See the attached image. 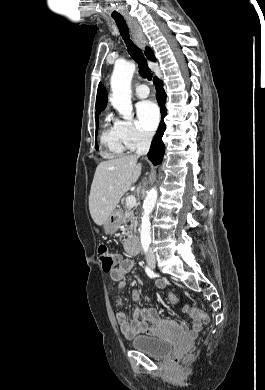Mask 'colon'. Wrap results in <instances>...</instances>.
Segmentation results:
<instances>
[{"label":"colon","instance_id":"obj_1","mask_svg":"<svg viewBox=\"0 0 265 390\" xmlns=\"http://www.w3.org/2000/svg\"><path fill=\"white\" fill-rule=\"evenodd\" d=\"M98 256H99L103 270L107 273H110L115 268L116 256L105 245L99 246ZM168 300L171 303L175 304L178 302V297L175 293L170 292V293H168ZM184 311L193 319L200 320L203 323L208 322L207 314L198 308L185 306Z\"/></svg>","mask_w":265,"mask_h":390}]
</instances>
